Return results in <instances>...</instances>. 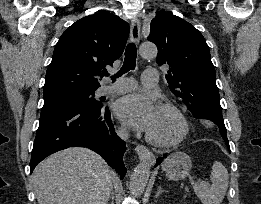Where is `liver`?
<instances>
[{
  "label": "liver",
  "instance_id": "liver-1",
  "mask_svg": "<svg viewBox=\"0 0 261 204\" xmlns=\"http://www.w3.org/2000/svg\"><path fill=\"white\" fill-rule=\"evenodd\" d=\"M33 185L39 204H108L112 177L100 155L72 147L41 162L33 172Z\"/></svg>",
  "mask_w": 261,
  "mask_h": 204
}]
</instances>
